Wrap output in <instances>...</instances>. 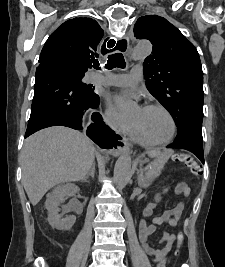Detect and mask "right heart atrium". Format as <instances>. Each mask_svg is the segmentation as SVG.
<instances>
[{
  "label": "right heart atrium",
  "mask_w": 225,
  "mask_h": 267,
  "mask_svg": "<svg viewBox=\"0 0 225 267\" xmlns=\"http://www.w3.org/2000/svg\"><path fill=\"white\" fill-rule=\"evenodd\" d=\"M104 120L108 126L120 133H128L132 128V124L126 120H123L111 107H106L104 113Z\"/></svg>",
  "instance_id": "obj_1"
}]
</instances>
